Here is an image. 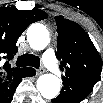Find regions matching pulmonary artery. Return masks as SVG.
<instances>
[{"instance_id": "obj_1", "label": "pulmonary artery", "mask_w": 103, "mask_h": 103, "mask_svg": "<svg viewBox=\"0 0 103 103\" xmlns=\"http://www.w3.org/2000/svg\"><path fill=\"white\" fill-rule=\"evenodd\" d=\"M43 59L45 65L48 67L50 71L57 75L61 73L56 63L55 55L52 49L49 48L44 52Z\"/></svg>"}]
</instances>
